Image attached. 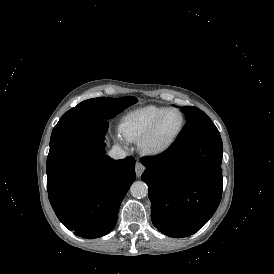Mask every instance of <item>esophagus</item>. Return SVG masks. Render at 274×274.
<instances>
[{"label":"esophagus","instance_id":"34e87169","mask_svg":"<svg viewBox=\"0 0 274 274\" xmlns=\"http://www.w3.org/2000/svg\"><path fill=\"white\" fill-rule=\"evenodd\" d=\"M145 167L140 163V162H136L135 164V171L138 177L141 176V174L144 172Z\"/></svg>","mask_w":274,"mask_h":274}]
</instances>
